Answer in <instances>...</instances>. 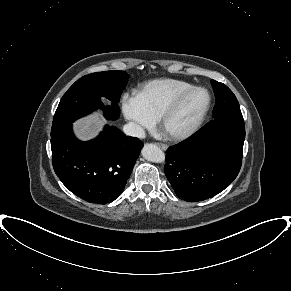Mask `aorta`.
Listing matches in <instances>:
<instances>
[{"label": "aorta", "mask_w": 291, "mask_h": 291, "mask_svg": "<svg viewBox=\"0 0 291 291\" xmlns=\"http://www.w3.org/2000/svg\"><path fill=\"white\" fill-rule=\"evenodd\" d=\"M142 156L151 162L163 163L165 161L164 152L155 144H146L141 151Z\"/></svg>", "instance_id": "obj_1"}]
</instances>
